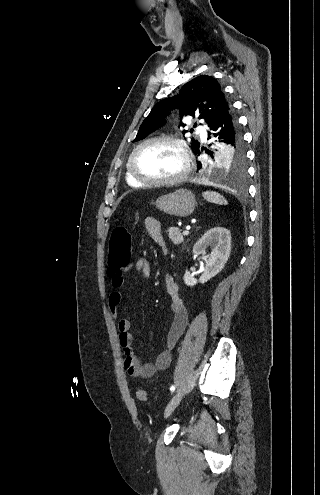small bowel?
<instances>
[{"label":"small bowel","mask_w":320,"mask_h":495,"mask_svg":"<svg viewBox=\"0 0 320 495\" xmlns=\"http://www.w3.org/2000/svg\"><path fill=\"white\" fill-rule=\"evenodd\" d=\"M145 228L150 237L163 249L165 244L161 233L160 222L153 218L145 219ZM135 270L148 278L151 274V263L148 258L138 259L134 265L127 266L120 272H111V284L115 288L109 295V310L111 315L117 320L118 340L125 355L124 365L128 373L136 378H151L157 371L165 370L169 367L172 358V349L186 329L188 322V310L184 300L179 296L178 285L174 278L167 273L165 275L166 291L171 298L172 322L165 338V345L158 353L152 363H142L135 354L133 347V336L130 332L131 324L126 319H118V308L122 300V294L117 289L124 281V273Z\"/></svg>","instance_id":"obj_1"}]
</instances>
